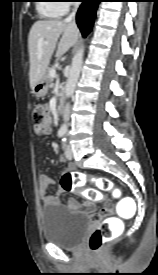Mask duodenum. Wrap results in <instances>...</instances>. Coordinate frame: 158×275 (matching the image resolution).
<instances>
[{"label": "duodenum", "mask_w": 158, "mask_h": 275, "mask_svg": "<svg viewBox=\"0 0 158 275\" xmlns=\"http://www.w3.org/2000/svg\"><path fill=\"white\" fill-rule=\"evenodd\" d=\"M63 103H64V95L61 94V95L59 96V99H58L57 105H56V111H57L58 114L61 112Z\"/></svg>", "instance_id": "410a0bca"}]
</instances>
